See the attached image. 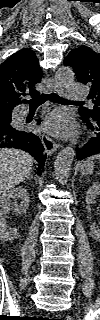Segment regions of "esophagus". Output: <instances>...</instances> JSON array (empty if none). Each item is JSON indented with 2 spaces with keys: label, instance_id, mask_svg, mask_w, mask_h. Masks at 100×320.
I'll return each mask as SVG.
<instances>
[{
  "label": "esophagus",
  "instance_id": "1",
  "mask_svg": "<svg viewBox=\"0 0 100 320\" xmlns=\"http://www.w3.org/2000/svg\"><path fill=\"white\" fill-rule=\"evenodd\" d=\"M45 84L51 91L55 93H59L61 91L58 84L52 78L45 79ZM41 141L48 155H52L60 148V144L56 143L45 134L41 135Z\"/></svg>",
  "mask_w": 100,
  "mask_h": 320
}]
</instances>
